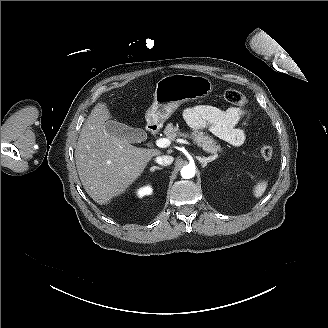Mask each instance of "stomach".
Returning a JSON list of instances; mask_svg holds the SVG:
<instances>
[{
	"instance_id": "0dacf381",
	"label": "stomach",
	"mask_w": 328,
	"mask_h": 328,
	"mask_svg": "<svg viewBox=\"0 0 328 328\" xmlns=\"http://www.w3.org/2000/svg\"><path fill=\"white\" fill-rule=\"evenodd\" d=\"M213 90V83L205 76L173 74L163 77L157 82L154 101L145 113L147 128L157 131L183 103L207 97Z\"/></svg>"
}]
</instances>
